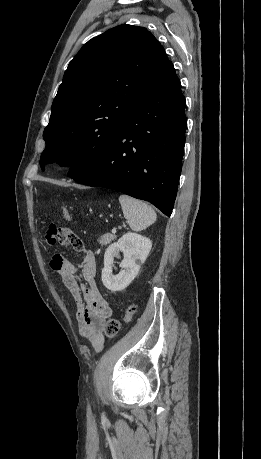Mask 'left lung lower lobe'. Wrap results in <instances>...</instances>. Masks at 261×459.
I'll list each match as a JSON object with an SVG mask.
<instances>
[{
	"instance_id": "1",
	"label": "left lung lower lobe",
	"mask_w": 261,
	"mask_h": 459,
	"mask_svg": "<svg viewBox=\"0 0 261 459\" xmlns=\"http://www.w3.org/2000/svg\"><path fill=\"white\" fill-rule=\"evenodd\" d=\"M185 105L173 68L135 109L97 166L72 178L149 201L170 216L182 168Z\"/></svg>"
}]
</instances>
